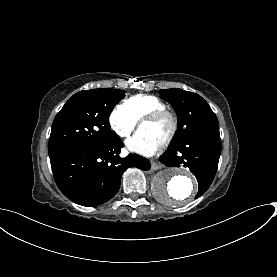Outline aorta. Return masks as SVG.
<instances>
[{
	"label": "aorta",
	"mask_w": 277,
	"mask_h": 277,
	"mask_svg": "<svg viewBox=\"0 0 277 277\" xmlns=\"http://www.w3.org/2000/svg\"><path fill=\"white\" fill-rule=\"evenodd\" d=\"M155 196L167 205L185 204L195 196L198 185L190 172L182 169H164L152 182Z\"/></svg>",
	"instance_id": "aorta-1"
}]
</instances>
